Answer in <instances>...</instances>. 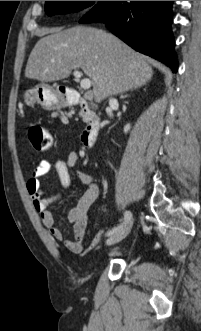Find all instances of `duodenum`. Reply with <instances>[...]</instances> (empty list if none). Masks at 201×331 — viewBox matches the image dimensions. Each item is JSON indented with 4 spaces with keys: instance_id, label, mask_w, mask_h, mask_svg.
Masks as SVG:
<instances>
[{
    "instance_id": "obj_1",
    "label": "duodenum",
    "mask_w": 201,
    "mask_h": 331,
    "mask_svg": "<svg viewBox=\"0 0 201 331\" xmlns=\"http://www.w3.org/2000/svg\"><path fill=\"white\" fill-rule=\"evenodd\" d=\"M58 93L59 96L62 97L67 103L77 105L88 117L86 127L82 132L81 143L86 149L93 148L98 136L99 123L91 116L89 101L81 97L80 94L73 89L60 87Z\"/></svg>"
}]
</instances>
